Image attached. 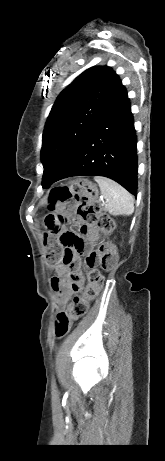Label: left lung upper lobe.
Returning <instances> with one entry per match:
<instances>
[{
  "label": "left lung upper lobe",
  "mask_w": 165,
  "mask_h": 461,
  "mask_svg": "<svg viewBox=\"0 0 165 461\" xmlns=\"http://www.w3.org/2000/svg\"><path fill=\"white\" fill-rule=\"evenodd\" d=\"M122 87L111 67L97 66L85 70L60 93L43 132L44 188L52 184Z\"/></svg>",
  "instance_id": "left-lung-upper-lobe-1"
}]
</instances>
